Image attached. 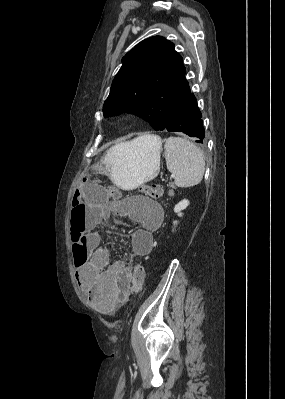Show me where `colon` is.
I'll list each match as a JSON object with an SVG mask.
<instances>
[{
  "label": "colon",
  "mask_w": 285,
  "mask_h": 399,
  "mask_svg": "<svg viewBox=\"0 0 285 399\" xmlns=\"http://www.w3.org/2000/svg\"><path fill=\"white\" fill-rule=\"evenodd\" d=\"M77 189L79 191L85 193H94L95 196L99 197L102 195L101 191L98 188V184L96 181L88 179L86 181L81 182ZM140 192L148 197L158 199L164 195V188L160 184H145L139 188ZM108 195L111 198H119L121 196V192L118 188L113 187L109 189ZM81 216L79 214L78 207L74 208L72 218L74 220L79 219ZM82 261H77V265L80 264ZM144 270L140 263L136 264L133 270V287L136 290H140L144 283Z\"/></svg>",
  "instance_id": "5ec220e1"
}]
</instances>
